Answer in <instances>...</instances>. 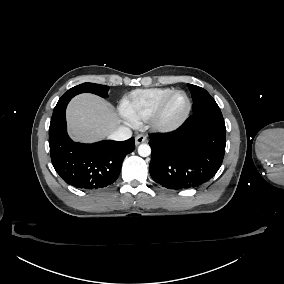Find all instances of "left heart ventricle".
<instances>
[{
	"instance_id": "left-heart-ventricle-1",
	"label": "left heart ventricle",
	"mask_w": 284,
	"mask_h": 284,
	"mask_svg": "<svg viewBox=\"0 0 284 284\" xmlns=\"http://www.w3.org/2000/svg\"><path fill=\"white\" fill-rule=\"evenodd\" d=\"M187 109V97L185 93H175L167 102L159 122L164 126H169L180 120Z\"/></svg>"
}]
</instances>
